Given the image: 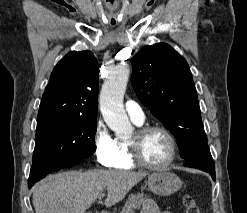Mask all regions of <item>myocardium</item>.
Wrapping results in <instances>:
<instances>
[{"label": "myocardium", "mask_w": 247, "mask_h": 213, "mask_svg": "<svg viewBox=\"0 0 247 213\" xmlns=\"http://www.w3.org/2000/svg\"><path fill=\"white\" fill-rule=\"evenodd\" d=\"M151 131L162 132L168 139L170 152L167 160L162 164H151L145 161L140 153V140ZM130 158L134 164L149 170H163L168 168L175 160L177 155V142L174 135L166 127L161 125H144L139 127L133 139L127 142Z\"/></svg>", "instance_id": "1"}]
</instances>
